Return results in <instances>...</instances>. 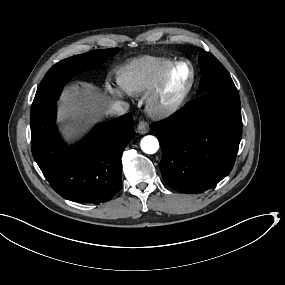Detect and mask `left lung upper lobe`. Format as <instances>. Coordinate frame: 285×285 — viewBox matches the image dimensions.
Segmentation results:
<instances>
[{
  "label": "left lung upper lobe",
  "mask_w": 285,
  "mask_h": 285,
  "mask_svg": "<svg viewBox=\"0 0 285 285\" xmlns=\"http://www.w3.org/2000/svg\"><path fill=\"white\" fill-rule=\"evenodd\" d=\"M201 80L199 90L204 93L236 89L226 68L210 53L201 50L199 55Z\"/></svg>",
  "instance_id": "left-lung-upper-lobe-1"
}]
</instances>
